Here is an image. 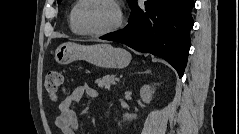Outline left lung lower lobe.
<instances>
[{"label": "left lung lower lobe", "mask_w": 239, "mask_h": 134, "mask_svg": "<svg viewBox=\"0 0 239 134\" xmlns=\"http://www.w3.org/2000/svg\"><path fill=\"white\" fill-rule=\"evenodd\" d=\"M129 24L121 31L106 34L104 40L115 41L169 62L181 78L190 49L189 32L193 27V0H147L140 7L137 0Z\"/></svg>", "instance_id": "0a47b994"}]
</instances>
